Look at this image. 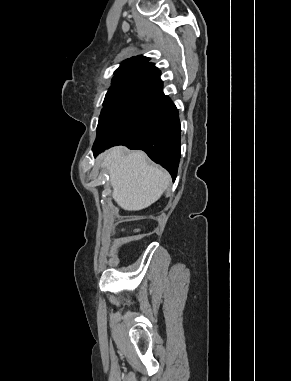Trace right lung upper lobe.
Masks as SVG:
<instances>
[{"label": "right lung upper lobe", "mask_w": 291, "mask_h": 381, "mask_svg": "<svg viewBox=\"0 0 291 381\" xmlns=\"http://www.w3.org/2000/svg\"><path fill=\"white\" fill-rule=\"evenodd\" d=\"M149 60L150 58L139 55L123 61L114 73L111 87L129 79L142 78L159 71Z\"/></svg>", "instance_id": "1"}]
</instances>
